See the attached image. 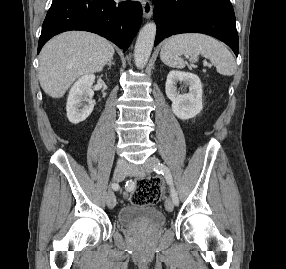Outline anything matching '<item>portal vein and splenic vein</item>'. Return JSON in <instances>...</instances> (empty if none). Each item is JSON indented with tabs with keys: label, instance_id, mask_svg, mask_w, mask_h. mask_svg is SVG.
Instances as JSON below:
<instances>
[{
	"label": "portal vein and splenic vein",
	"instance_id": "1",
	"mask_svg": "<svg viewBox=\"0 0 286 269\" xmlns=\"http://www.w3.org/2000/svg\"><path fill=\"white\" fill-rule=\"evenodd\" d=\"M204 66H210L206 61H204Z\"/></svg>",
	"mask_w": 286,
	"mask_h": 269
}]
</instances>
